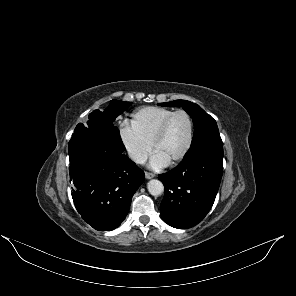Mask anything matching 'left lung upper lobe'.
Listing matches in <instances>:
<instances>
[{"instance_id":"obj_1","label":"left lung upper lobe","mask_w":296,"mask_h":296,"mask_svg":"<svg viewBox=\"0 0 296 296\" xmlns=\"http://www.w3.org/2000/svg\"><path fill=\"white\" fill-rule=\"evenodd\" d=\"M158 105L164 107H183V109L193 118L195 126L194 136L191 147L185 155V158L208 148L222 146V140L216 121L199 105L186 100L159 103Z\"/></svg>"}]
</instances>
